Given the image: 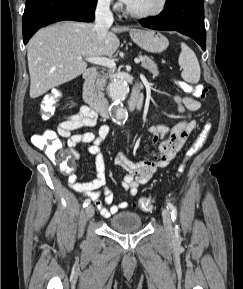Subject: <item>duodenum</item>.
<instances>
[{
  "label": "duodenum",
  "mask_w": 243,
  "mask_h": 289,
  "mask_svg": "<svg viewBox=\"0 0 243 289\" xmlns=\"http://www.w3.org/2000/svg\"><path fill=\"white\" fill-rule=\"evenodd\" d=\"M97 70L95 68H88L83 73L82 97L84 102L100 117L109 118L112 114V106L109 102L99 98L93 90V81L96 77ZM143 105V98L136 89L126 101V108L129 111L141 109Z\"/></svg>",
  "instance_id": "duodenum-1"
}]
</instances>
